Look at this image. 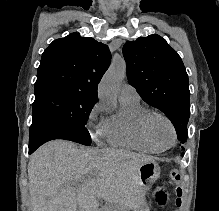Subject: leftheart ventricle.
Segmentation results:
<instances>
[{
    "mask_svg": "<svg viewBox=\"0 0 219 211\" xmlns=\"http://www.w3.org/2000/svg\"><path fill=\"white\" fill-rule=\"evenodd\" d=\"M153 132L156 140L162 147H167L173 142V133L167 122L156 120L153 124Z\"/></svg>",
    "mask_w": 219,
    "mask_h": 211,
    "instance_id": "left-heart-ventricle-1",
    "label": "left heart ventricle"
}]
</instances>
